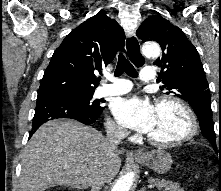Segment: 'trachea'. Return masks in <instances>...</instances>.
I'll list each match as a JSON object with an SVG mask.
<instances>
[{"mask_svg":"<svg viewBox=\"0 0 221 191\" xmlns=\"http://www.w3.org/2000/svg\"><path fill=\"white\" fill-rule=\"evenodd\" d=\"M126 73L130 77L136 78L137 77V72L133 65L129 63V61L125 58L123 54H119L118 57V63L114 72V75L116 77L121 76L123 73Z\"/></svg>","mask_w":221,"mask_h":191,"instance_id":"trachea-1","label":"trachea"}]
</instances>
